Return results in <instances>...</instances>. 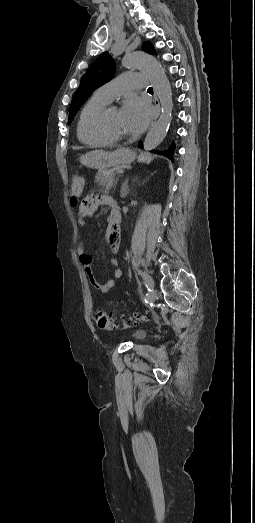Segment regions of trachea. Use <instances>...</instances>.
Listing matches in <instances>:
<instances>
[{"label":"trachea","mask_w":255,"mask_h":523,"mask_svg":"<svg viewBox=\"0 0 255 523\" xmlns=\"http://www.w3.org/2000/svg\"><path fill=\"white\" fill-rule=\"evenodd\" d=\"M147 92H152L153 93V88L152 87H149Z\"/></svg>","instance_id":"1"}]
</instances>
